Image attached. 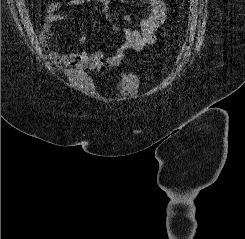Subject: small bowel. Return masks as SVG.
Returning <instances> with one entry per match:
<instances>
[{
  "label": "small bowel",
  "instance_id": "c3829d8e",
  "mask_svg": "<svg viewBox=\"0 0 245 239\" xmlns=\"http://www.w3.org/2000/svg\"><path fill=\"white\" fill-rule=\"evenodd\" d=\"M98 2L102 5L103 12L106 17H110L109 5L110 0H68L69 6H81L86 2ZM147 7V14L141 18L136 26L127 27L123 30L124 41L120 48L109 58L103 60V53L97 52H74L70 54H62L52 49L48 53V57L57 67L67 72H75L82 69L96 70L101 73L108 69L117 67L123 60L126 51L132 49L141 51L155 42V31L162 25L165 18V5L162 0H141ZM60 3H52L48 6V14L44 20V28L50 29L55 23L60 22L66 17L64 13L59 12ZM123 20L129 25L132 21L129 17ZM117 30L118 27L114 26ZM86 37L82 36L80 44L84 45Z\"/></svg>",
  "mask_w": 245,
  "mask_h": 239
}]
</instances>
